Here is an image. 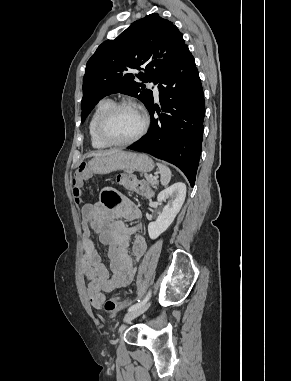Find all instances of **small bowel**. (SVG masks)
<instances>
[{
    "mask_svg": "<svg viewBox=\"0 0 291 381\" xmlns=\"http://www.w3.org/2000/svg\"><path fill=\"white\" fill-rule=\"evenodd\" d=\"M116 198L111 191H105L102 201L86 204L81 209L83 230L81 271L88 280L87 295L94 308L101 309L105 293L130 284L135 275V265L128 247L131 242L132 254L140 259L147 248L141 235L138 220L141 212L130 200L123 198L112 205L106 199ZM125 221L135 222L128 227ZM97 233L99 241L108 247L107 264L101 260L91 232Z\"/></svg>",
    "mask_w": 291,
    "mask_h": 381,
    "instance_id": "obj_1",
    "label": "small bowel"
}]
</instances>
